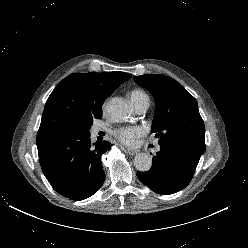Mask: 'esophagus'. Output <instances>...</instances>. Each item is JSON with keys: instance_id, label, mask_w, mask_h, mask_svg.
I'll list each match as a JSON object with an SVG mask.
<instances>
[{"instance_id": "1", "label": "esophagus", "mask_w": 248, "mask_h": 248, "mask_svg": "<svg viewBox=\"0 0 248 248\" xmlns=\"http://www.w3.org/2000/svg\"><path fill=\"white\" fill-rule=\"evenodd\" d=\"M126 152H127L129 155H135V154L138 153V150H134V149L127 148V149H126Z\"/></svg>"}]
</instances>
